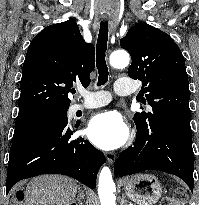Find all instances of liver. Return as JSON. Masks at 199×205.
<instances>
[{"instance_id":"6515ba94","label":"liver","mask_w":199,"mask_h":205,"mask_svg":"<svg viewBox=\"0 0 199 205\" xmlns=\"http://www.w3.org/2000/svg\"><path fill=\"white\" fill-rule=\"evenodd\" d=\"M78 185L71 178L58 175H43L33 178L26 187V205H71Z\"/></svg>"}]
</instances>
